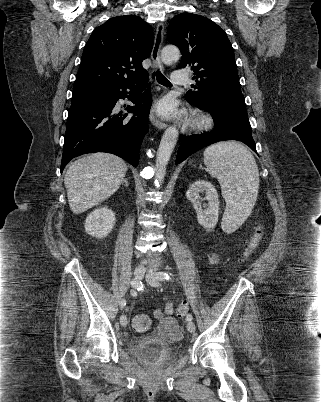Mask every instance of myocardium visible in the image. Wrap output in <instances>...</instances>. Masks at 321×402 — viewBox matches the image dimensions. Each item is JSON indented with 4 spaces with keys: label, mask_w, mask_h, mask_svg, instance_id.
<instances>
[{
    "label": "myocardium",
    "mask_w": 321,
    "mask_h": 402,
    "mask_svg": "<svg viewBox=\"0 0 321 402\" xmlns=\"http://www.w3.org/2000/svg\"><path fill=\"white\" fill-rule=\"evenodd\" d=\"M190 126L194 130L207 131L213 128L214 119L204 114H196L192 117Z\"/></svg>",
    "instance_id": "1"
}]
</instances>
